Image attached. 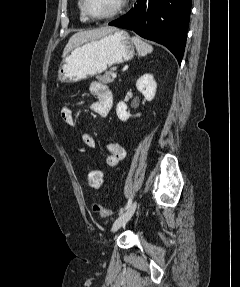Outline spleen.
I'll use <instances>...</instances> for the list:
<instances>
[{
	"mask_svg": "<svg viewBox=\"0 0 240 287\" xmlns=\"http://www.w3.org/2000/svg\"><path fill=\"white\" fill-rule=\"evenodd\" d=\"M132 42L134 43L140 56L144 57L153 51V47L147 42L143 41L137 36L132 37Z\"/></svg>",
	"mask_w": 240,
	"mask_h": 287,
	"instance_id": "spleen-1",
	"label": "spleen"
}]
</instances>
